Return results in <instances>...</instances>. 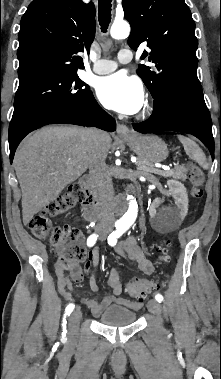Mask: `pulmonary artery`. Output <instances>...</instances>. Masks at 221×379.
Listing matches in <instances>:
<instances>
[{
  "mask_svg": "<svg viewBox=\"0 0 221 379\" xmlns=\"http://www.w3.org/2000/svg\"><path fill=\"white\" fill-rule=\"evenodd\" d=\"M132 52L129 49H121L118 53L117 61L113 60H97L93 65V72L96 74H107L113 72L118 67V64H125L131 61Z\"/></svg>",
  "mask_w": 221,
  "mask_h": 379,
  "instance_id": "e3ab8cb5",
  "label": "pulmonary artery"
}]
</instances>
